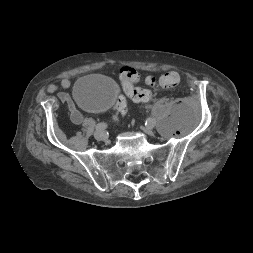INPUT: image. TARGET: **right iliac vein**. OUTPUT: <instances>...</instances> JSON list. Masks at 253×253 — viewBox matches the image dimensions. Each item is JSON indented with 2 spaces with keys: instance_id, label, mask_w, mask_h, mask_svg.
<instances>
[{
  "instance_id": "1",
  "label": "right iliac vein",
  "mask_w": 253,
  "mask_h": 253,
  "mask_svg": "<svg viewBox=\"0 0 253 253\" xmlns=\"http://www.w3.org/2000/svg\"><path fill=\"white\" fill-rule=\"evenodd\" d=\"M94 136L97 140H104L106 141L107 140V136L105 134V132L103 131H100V130H96V132L94 133Z\"/></svg>"
}]
</instances>
